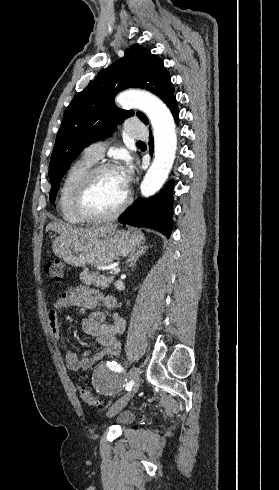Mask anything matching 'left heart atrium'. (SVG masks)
<instances>
[{"instance_id": "obj_1", "label": "left heart atrium", "mask_w": 279, "mask_h": 490, "mask_svg": "<svg viewBox=\"0 0 279 490\" xmlns=\"http://www.w3.org/2000/svg\"><path fill=\"white\" fill-rule=\"evenodd\" d=\"M119 172V178L122 188L127 192L130 179H131V166L128 165L126 168L121 169Z\"/></svg>"}]
</instances>
